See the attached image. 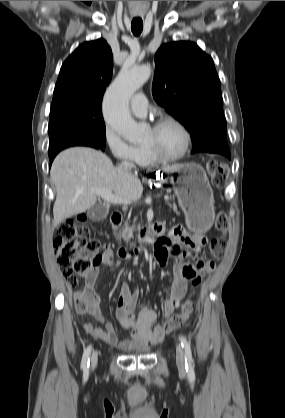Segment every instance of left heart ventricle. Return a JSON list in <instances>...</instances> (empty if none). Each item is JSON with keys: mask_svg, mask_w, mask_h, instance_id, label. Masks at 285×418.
Wrapping results in <instances>:
<instances>
[{"mask_svg": "<svg viewBox=\"0 0 285 418\" xmlns=\"http://www.w3.org/2000/svg\"><path fill=\"white\" fill-rule=\"evenodd\" d=\"M143 144L151 146L163 156L171 157L182 150L184 136L178 127L167 124L158 130L150 128Z\"/></svg>", "mask_w": 285, "mask_h": 418, "instance_id": "obj_1", "label": "left heart ventricle"}]
</instances>
